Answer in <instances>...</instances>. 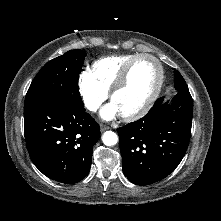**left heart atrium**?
I'll return each instance as SVG.
<instances>
[{
  "instance_id": "1",
  "label": "left heart atrium",
  "mask_w": 221,
  "mask_h": 221,
  "mask_svg": "<svg viewBox=\"0 0 221 221\" xmlns=\"http://www.w3.org/2000/svg\"><path fill=\"white\" fill-rule=\"evenodd\" d=\"M118 114H120V111L114 102L106 105L101 111V117L105 120H111Z\"/></svg>"
}]
</instances>
